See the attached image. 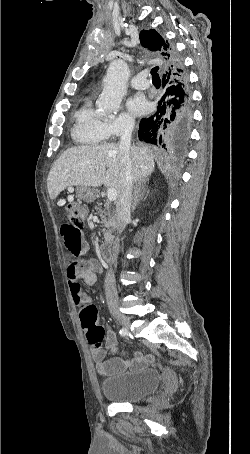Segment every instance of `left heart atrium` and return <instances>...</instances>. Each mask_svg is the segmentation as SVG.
Listing matches in <instances>:
<instances>
[{
    "mask_svg": "<svg viewBox=\"0 0 250 454\" xmlns=\"http://www.w3.org/2000/svg\"><path fill=\"white\" fill-rule=\"evenodd\" d=\"M128 110L134 115H142L148 109V104L141 96L131 98L127 103Z\"/></svg>",
    "mask_w": 250,
    "mask_h": 454,
    "instance_id": "1",
    "label": "left heart atrium"
}]
</instances>
